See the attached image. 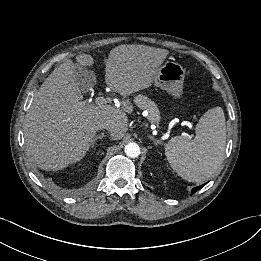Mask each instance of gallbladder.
Wrapping results in <instances>:
<instances>
[{
	"label": "gallbladder",
	"mask_w": 261,
	"mask_h": 261,
	"mask_svg": "<svg viewBox=\"0 0 261 261\" xmlns=\"http://www.w3.org/2000/svg\"><path fill=\"white\" fill-rule=\"evenodd\" d=\"M74 78L82 92L88 91L90 87L96 84L95 73L84 66H79L76 69Z\"/></svg>",
	"instance_id": "gallbladder-1"
}]
</instances>
